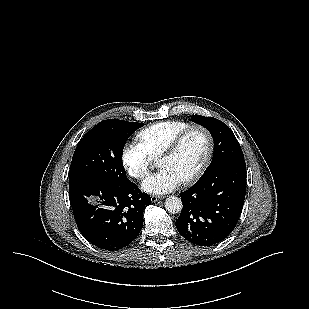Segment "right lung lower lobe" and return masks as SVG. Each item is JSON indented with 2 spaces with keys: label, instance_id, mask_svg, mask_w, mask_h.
I'll return each instance as SVG.
<instances>
[{
  "label": "right lung lower lobe",
  "instance_id": "obj_1",
  "mask_svg": "<svg viewBox=\"0 0 309 309\" xmlns=\"http://www.w3.org/2000/svg\"><path fill=\"white\" fill-rule=\"evenodd\" d=\"M77 227L96 247L117 251L131 244L143 226V210L151 203L130 180L118 184L100 177L69 183Z\"/></svg>",
  "mask_w": 309,
  "mask_h": 309
}]
</instances>
